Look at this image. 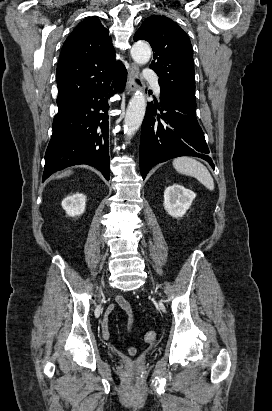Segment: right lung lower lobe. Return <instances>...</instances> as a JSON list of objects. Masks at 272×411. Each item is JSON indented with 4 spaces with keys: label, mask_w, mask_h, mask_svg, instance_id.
<instances>
[{
    "label": "right lung lower lobe",
    "mask_w": 272,
    "mask_h": 411,
    "mask_svg": "<svg viewBox=\"0 0 272 411\" xmlns=\"http://www.w3.org/2000/svg\"><path fill=\"white\" fill-rule=\"evenodd\" d=\"M126 76L123 67L109 83L58 106L42 181L58 170L77 164L91 165L109 180L108 98L124 89Z\"/></svg>",
    "instance_id": "right-lung-lower-lobe-1"
}]
</instances>
